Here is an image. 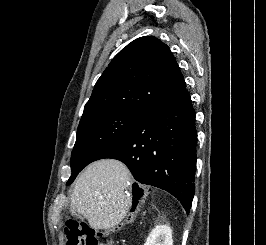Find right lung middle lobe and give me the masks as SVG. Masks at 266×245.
I'll list each match as a JSON object with an SVG mask.
<instances>
[{
    "instance_id": "obj_1",
    "label": "right lung middle lobe",
    "mask_w": 266,
    "mask_h": 245,
    "mask_svg": "<svg viewBox=\"0 0 266 245\" xmlns=\"http://www.w3.org/2000/svg\"><path fill=\"white\" fill-rule=\"evenodd\" d=\"M143 115L124 110H104L82 117L71 155L72 174L67 185L99 154L121 140Z\"/></svg>"
}]
</instances>
